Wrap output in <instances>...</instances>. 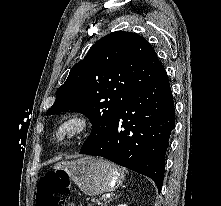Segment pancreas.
Instances as JSON below:
<instances>
[{
  "label": "pancreas",
  "mask_w": 221,
  "mask_h": 206,
  "mask_svg": "<svg viewBox=\"0 0 221 206\" xmlns=\"http://www.w3.org/2000/svg\"><path fill=\"white\" fill-rule=\"evenodd\" d=\"M94 204H100V201L97 200V199H94V200H92L91 202L88 203V206H94Z\"/></svg>",
  "instance_id": "cf45deb5"
}]
</instances>
